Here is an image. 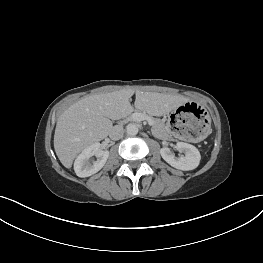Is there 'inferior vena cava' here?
I'll return each instance as SVG.
<instances>
[{"label": "inferior vena cava", "instance_id": "obj_1", "mask_svg": "<svg viewBox=\"0 0 263 263\" xmlns=\"http://www.w3.org/2000/svg\"><path fill=\"white\" fill-rule=\"evenodd\" d=\"M123 127L122 126H119V125H116L112 128V130L110 131L109 133V137L112 139V140H119L120 138L123 137Z\"/></svg>", "mask_w": 263, "mask_h": 263}]
</instances>
